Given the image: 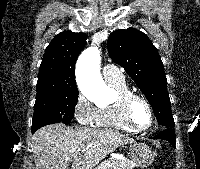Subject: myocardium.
<instances>
[{"mask_svg":"<svg viewBox=\"0 0 200 169\" xmlns=\"http://www.w3.org/2000/svg\"><path fill=\"white\" fill-rule=\"evenodd\" d=\"M136 100L142 101L149 110L150 122L146 127H137L132 121L130 110H131V106L133 102ZM119 104H120L122 119L132 131L145 132L152 127L154 123V118H155L154 110L151 103L148 101V99L145 96L139 93H135V92H128L120 97Z\"/></svg>","mask_w":200,"mask_h":169,"instance_id":"obj_1","label":"myocardium"}]
</instances>
